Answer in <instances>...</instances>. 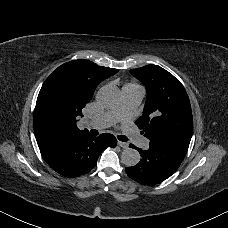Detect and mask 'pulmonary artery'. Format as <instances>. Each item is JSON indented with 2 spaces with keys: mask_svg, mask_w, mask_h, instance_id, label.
<instances>
[{
  "mask_svg": "<svg viewBox=\"0 0 228 228\" xmlns=\"http://www.w3.org/2000/svg\"><path fill=\"white\" fill-rule=\"evenodd\" d=\"M142 96V88L140 86H133L130 88L125 96L124 110L126 112H133L135 110L136 102L138 98ZM101 121L104 127L110 126L117 121V113H107Z\"/></svg>",
  "mask_w": 228,
  "mask_h": 228,
  "instance_id": "1",
  "label": "pulmonary artery"
}]
</instances>
